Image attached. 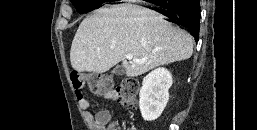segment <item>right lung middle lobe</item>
I'll use <instances>...</instances> for the list:
<instances>
[{
  "mask_svg": "<svg viewBox=\"0 0 257 130\" xmlns=\"http://www.w3.org/2000/svg\"><path fill=\"white\" fill-rule=\"evenodd\" d=\"M79 13H86L106 2L105 0H71Z\"/></svg>",
  "mask_w": 257,
  "mask_h": 130,
  "instance_id": "right-lung-middle-lobe-1",
  "label": "right lung middle lobe"
}]
</instances>
